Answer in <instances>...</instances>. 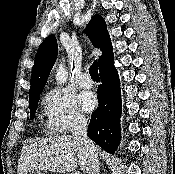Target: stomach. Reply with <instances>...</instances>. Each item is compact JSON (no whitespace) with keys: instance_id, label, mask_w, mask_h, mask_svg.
I'll return each mask as SVG.
<instances>
[{"instance_id":"stomach-1","label":"stomach","mask_w":175,"mask_h":174,"mask_svg":"<svg viewBox=\"0 0 175 174\" xmlns=\"http://www.w3.org/2000/svg\"><path fill=\"white\" fill-rule=\"evenodd\" d=\"M27 174H43V173H41V171L39 170H31Z\"/></svg>"}]
</instances>
